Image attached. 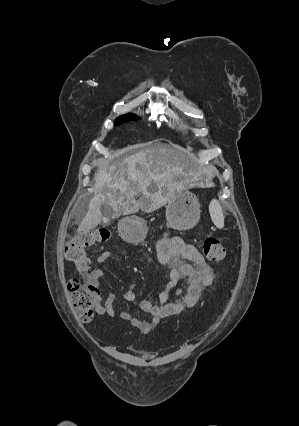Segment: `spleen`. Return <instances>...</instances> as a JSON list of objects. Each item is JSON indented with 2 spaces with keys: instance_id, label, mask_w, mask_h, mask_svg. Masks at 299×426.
<instances>
[{
  "instance_id": "spleen-1",
  "label": "spleen",
  "mask_w": 299,
  "mask_h": 426,
  "mask_svg": "<svg viewBox=\"0 0 299 426\" xmlns=\"http://www.w3.org/2000/svg\"><path fill=\"white\" fill-rule=\"evenodd\" d=\"M209 212L214 225L218 228L224 227V215L220 202L216 199L211 200L209 204Z\"/></svg>"
}]
</instances>
